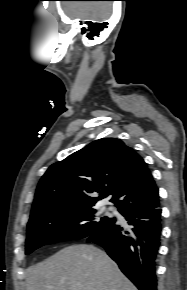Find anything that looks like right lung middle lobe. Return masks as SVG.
<instances>
[{"instance_id": "1", "label": "right lung middle lobe", "mask_w": 187, "mask_h": 290, "mask_svg": "<svg viewBox=\"0 0 187 290\" xmlns=\"http://www.w3.org/2000/svg\"><path fill=\"white\" fill-rule=\"evenodd\" d=\"M95 205L48 214L27 227L26 254L48 244L87 238L115 223L97 214Z\"/></svg>"}]
</instances>
